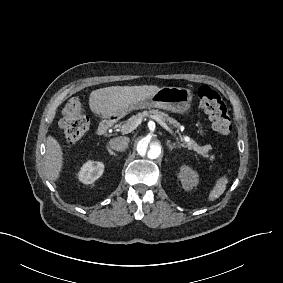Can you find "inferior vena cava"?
I'll use <instances>...</instances> for the list:
<instances>
[{"label":"inferior vena cava","instance_id":"602c4592","mask_svg":"<svg viewBox=\"0 0 283 283\" xmlns=\"http://www.w3.org/2000/svg\"><path fill=\"white\" fill-rule=\"evenodd\" d=\"M129 142L130 139L127 137H117L111 139L109 145L113 150L123 152L128 148Z\"/></svg>","mask_w":283,"mask_h":283}]
</instances>
